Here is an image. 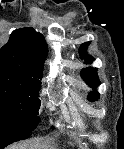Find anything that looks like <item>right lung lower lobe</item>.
<instances>
[{
    "label": "right lung lower lobe",
    "instance_id": "obj_1",
    "mask_svg": "<svg viewBox=\"0 0 124 149\" xmlns=\"http://www.w3.org/2000/svg\"><path fill=\"white\" fill-rule=\"evenodd\" d=\"M24 133L22 135L16 136L11 134H0V149H4L9 144L27 138L31 133Z\"/></svg>",
    "mask_w": 124,
    "mask_h": 149
}]
</instances>
